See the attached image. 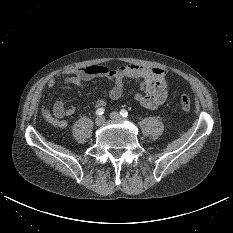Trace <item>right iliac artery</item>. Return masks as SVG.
<instances>
[{"label": "right iliac artery", "instance_id": "obj_1", "mask_svg": "<svg viewBox=\"0 0 233 233\" xmlns=\"http://www.w3.org/2000/svg\"><path fill=\"white\" fill-rule=\"evenodd\" d=\"M104 111H105L104 108H99V109L96 110V115L100 116V115H102L104 113Z\"/></svg>", "mask_w": 233, "mask_h": 233}]
</instances>
